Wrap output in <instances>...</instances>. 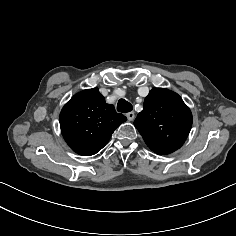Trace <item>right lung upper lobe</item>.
<instances>
[{
	"instance_id": "obj_1",
	"label": "right lung upper lobe",
	"mask_w": 236,
	"mask_h": 236,
	"mask_svg": "<svg viewBox=\"0 0 236 236\" xmlns=\"http://www.w3.org/2000/svg\"><path fill=\"white\" fill-rule=\"evenodd\" d=\"M127 118L107 104L98 88L74 95L60 113L62 135L79 155H94L109 141L114 130Z\"/></svg>"
}]
</instances>
